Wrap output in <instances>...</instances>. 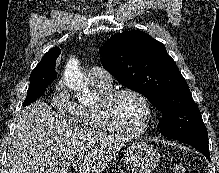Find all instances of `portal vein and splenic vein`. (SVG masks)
<instances>
[{"label":"portal vein and splenic vein","instance_id":"portal-vein-and-splenic-vein-1","mask_svg":"<svg viewBox=\"0 0 219 173\" xmlns=\"http://www.w3.org/2000/svg\"><path fill=\"white\" fill-rule=\"evenodd\" d=\"M78 165V163H73V167L76 168V166Z\"/></svg>","mask_w":219,"mask_h":173}]
</instances>
